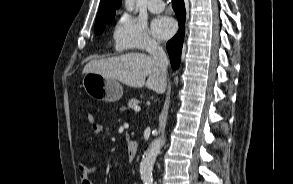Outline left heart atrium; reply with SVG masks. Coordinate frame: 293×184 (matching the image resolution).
Returning a JSON list of instances; mask_svg holds the SVG:
<instances>
[{
    "instance_id": "obj_1",
    "label": "left heart atrium",
    "mask_w": 293,
    "mask_h": 184,
    "mask_svg": "<svg viewBox=\"0 0 293 184\" xmlns=\"http://www.w3.org/2000/svg\"><path fill=\"white\" fill-rule=\"evenodd\" d=\"M175 31L174 22L168 17H159L152 23L153 34L160 39L169 38Z\"/></svg>"
}]
</instances>
